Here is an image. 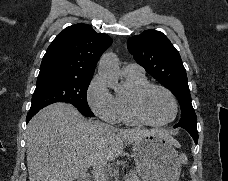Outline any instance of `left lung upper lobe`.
<instances>
[{
	"label": "left lung upper lobe",
	"instance_id": "5c2ea615",
	"mask_svg": "<svg viewBox=\"0 0 228 181\" xmlns=\"http://www.w3.org/2000/svg\"><path fill=\"white\" fill-rule=\"evenodd\" d=\"M127 47L135 61L178 99L182 112L180 122L175 127L197 130L186 70L169 39L162 32L146 30L129 38Z\"/></svg>",
	"mask_w": 228,
	"mask_h": 181
}]
</instances>
